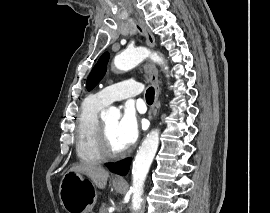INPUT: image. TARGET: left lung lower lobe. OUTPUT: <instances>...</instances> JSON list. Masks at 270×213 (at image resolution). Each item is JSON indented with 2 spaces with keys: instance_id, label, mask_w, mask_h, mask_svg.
I'll return each instance as SVG.
<instances>
[{
  "instance_id": "left-lung-lower-lobe-1",
  "label": "left lung lower lobe",
  "mask_w": 270,
  "mask_h": 213,
  "mask_svg": "<svg viewBox=\"0 0 270 213\" xmlns=\"http://www.w3.org/2000/svg\"><path fill=\"white\" fill-rule=\"evenodd\" d=\"M131 159H125L122 161H119L117 163L111 164L108 168L110 171L119 174V175H126L129 170Z\"/></svg>"
}]
</instances>
